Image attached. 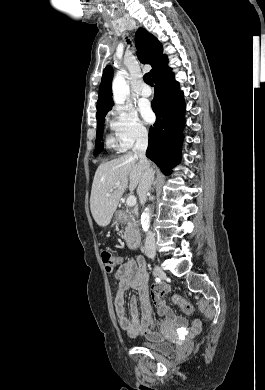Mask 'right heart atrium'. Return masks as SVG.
<instances>
[{"mask_svg": "<svg viewBox=\"0 0 265 390\" xmlns=\"http://www.w3.org/2000/svg\"><path fill=\"white\" fill-rule=\"evenodd\" d=\"M109 125L114 142L120 150L130 149L134 144L147 140L148 131L137 112L128 106L117 105L110 111Z\"/></svg>", "mask_w": 265, "mask_h": 390, "instance_id": "1", "label": "right heart atrium"}]
</instances>
